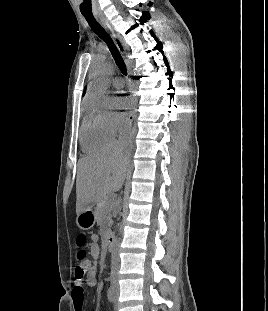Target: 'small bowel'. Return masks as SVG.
I'll return each mask as SVG.
<instances>
[{
	"instance_id": "c3829d8e",
	"label": "small bowel",
	"mask_w": 268,
	"mask_h": 311,
	"mask_svg": "<svg viewBox=\"0 0 268 311\" xmlns=\"http://www.w3.org/2000/svg\"><path fill=\"white\" fill-rule=\"evenodd\" d=\"M90 255L93 259V263L90 264L89 270L87 272V276L84 281L76 280L74 284V288L72 291V300L75 311H83L84 306V295L83 288L84 285L89 287H94L97 285V265L100 258V247L98 244V236L93 235L91 237V243L89 246Z\"/></svg>"
}]
</instances>
